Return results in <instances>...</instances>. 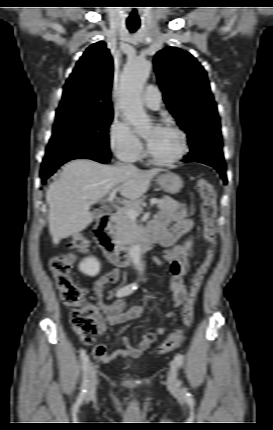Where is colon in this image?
<instances>
[{
	"label": "colon",
	"mask_w": 273,
	"mask_h": 430,
	"mask_svg": "<svg viewBox=\"0 0 273 430\" xmlns=\"http://www.w3.org/2000/svg\"><path fill=\"white\" fill-rule=\"evenodd\" d=\"M200 193L201 219L203 222V235L209 244L205 257L197 268L193 277L187 301L183 308L184 329L171 333L158 347V352L164 354L177 348L184 337L185 329L190 327L194 320V307L201 284L207 275L215 255L216 249V217L217 196L214 187L205 179L198 183ZM69 247L78 251L87 249V240L80 236H73ZM72 254H58L49 261V268L53 274L55 285L60 292L63 303L72 309V327L81 341L91 344L98 333V321L95 308L85 299V290L75 282L71 276Z\"/></svg>",
	"instance_id": "5ec220e1"
}]
</instances>
